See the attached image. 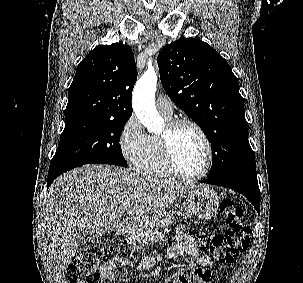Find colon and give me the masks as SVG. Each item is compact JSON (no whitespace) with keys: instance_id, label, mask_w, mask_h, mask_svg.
Returning a JSON list of instances; mask_svg holds the SVG:
<instances>
[{"instance_id":"obj_1","label":"colon","mask_w":303,"mask_h":283,"mask_svg":"<svg viewBox=\"0 0 303 283\" xmlns=\"http://www.w3.org/2000/svg\"><path fill=\"white\" fill-rule=\"evenodd\" d=\"M222 221L227 225L223 232H215L201 238V246L219 263L232 262L235 256L249 244V225L245 222V210L230 200L220 203ZM120 253L112 244L94 246L76 255L68 265L70 283H98L100 264ZM205 271L201 268L187 269L176 274L168 283H200Z\"/></svg>"}]
</instances>
